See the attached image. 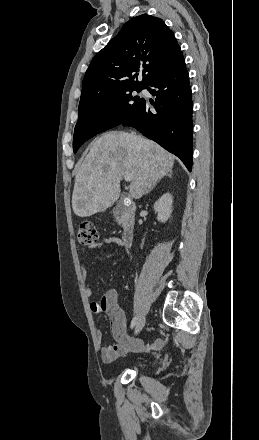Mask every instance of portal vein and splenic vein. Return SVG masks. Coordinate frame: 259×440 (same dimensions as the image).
Listing matches in <instances>:
<instances>
[{"label": "portal vein and splenic vein", "instance_id": "1", "mask_svg": "<svg viewBox=\"0 0 259 440\" xmlns=\"http://www.w3.org/2000/svg\"><path fill=\"white\" fill-rule=\"evenodd\" d=\"M124 178H125L126 181H131V180H132V175H130V174H126V175L124 176Z\"/></svg>", "mask_w": 259, "mask_h": 440}]
</instances>
